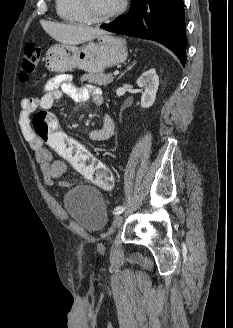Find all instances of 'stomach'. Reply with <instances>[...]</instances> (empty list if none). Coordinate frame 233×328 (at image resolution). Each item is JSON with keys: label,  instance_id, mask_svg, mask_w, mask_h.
Returning a JSON list of instances; mask_svg holds the SVG:
<instances>
[{"label": "stomach", "instance_id": "stomach-1", "mask_svg": "<svg viewBox=\"0 0 233 328\" xmlns=\"http://www.w3.org/2000/svg\"><path fill=\"white\" fill-rule=\"evenodd\" d=\"M127 58L126 43L122 38L102 35L97 42L82 46L56 44L45 55L46 67L52 72H66L78 67L87 72L101 73L108 67L122 63Z\"/></svg>", "mask_w": 233, "mask_h": 328}]
</instances>
